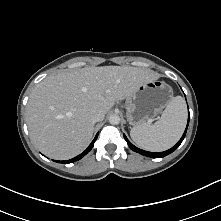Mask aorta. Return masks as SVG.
Wrapping results in <instances>:
<instances>
[{"instance_id":"aorta-1","label":"aorta","mask_w":221,"mask_h":221,"mask_svg":"<svg viewBox=\"0 0 221 221\" xmlns=\"http://www.w3.org/2000/svg\"><path fill=\"white\" fill-rule=\"evenodd\" d=\"M109 122L112 125H117V124L120 123V117L118 115H116V114H112L109 117Z\"/></svg>"}]
</instances>
